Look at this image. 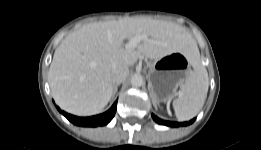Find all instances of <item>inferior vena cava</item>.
<instances>
[{"label":"inferior vena cava","mask_w":261,"mask_h":150,"mask_svg":"<svg viewBox=\"0 0 261 150\" xmlns=\"http://www.w3.org/2000/svg\"><path fill=\"white\" fill-rule=\"evenodd\" d=\"M129 74L127 66H114L111 72L113 83H122L126 80Z\"/></svg>","instance_id":"obj_1"}]
</instances>
